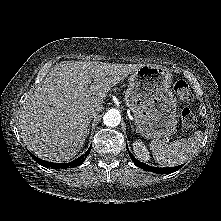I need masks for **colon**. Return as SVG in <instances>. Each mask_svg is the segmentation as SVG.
<instances>
[{
    "mask_svg": "<svg viewBox=\"0 0 221 221\" xmlns=\"http://www.w3.org/2000/svg\"><path fill=\"white\" fill-rule=\"evenodd\" d=\"M174 92L178 99L183 103H190L193 99L189 85L183 80H179L175 83ZM181 121L183 125L188 128L194 127L196 125V117L188 108H184L181 111Z\"/></svg>",
    "mask_w": 221,
    "mask_h": 221,
    "instance_id": "5ec220e1",
    "label": "colon"
}]
</instances>
